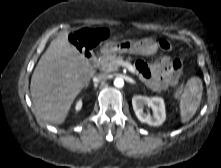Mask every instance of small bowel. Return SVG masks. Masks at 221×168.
Returning <instances> with one entry per match:
<instances>
[{
	"instance_id": "small-bowel-1",
	"label": "small bowel",
	"mask_w": 221,
	"mask_h": 168,
	"mask_svg": "<svg viewBox=\"0 0 221 168\" xmlns=\"http://www.w3.org/2000/svg\"><path fill=\"white\" fill-rule=\"evenodd\" d=\"M136 68L148 87L160 91L174 87L178 83L182 64L178 59L162 57L151 64L138 61Z\"/></svg>"
}]
</instances>
